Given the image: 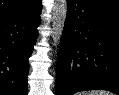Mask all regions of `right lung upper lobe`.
I'll return each mask as SVG.
<instances>
[{"label": "right lung upper lobe", "mask_w": 119, "mask_h": 95, "mask_svg": "<svg viewBox=\"0 0 119 95\" xmlns=\"http://www.w3.org/2000/svg\"><path fill=\"white\" fill-rule=\"evenodd\" d=\"M38 1L39 0H0V22L30 9Z\"/></svg>", "instance_id": "1"}]
</instances>
